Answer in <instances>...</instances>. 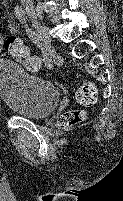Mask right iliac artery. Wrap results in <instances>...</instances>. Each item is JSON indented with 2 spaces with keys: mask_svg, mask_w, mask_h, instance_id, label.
Instances as JSON below:
<instances>
[{
  "mask_svg": "<svg viewBox=\"0 0 123 201\" xmlns=\"http://www.w3.org/2000/svg\"><path fill=\"white\" fill-rule=\"evenodd\" d=\"M14 13L21 23H26L27 19L26 12L22 8V6L17 5L14 9ZM26 33L28 34L31 41L42 50L45 64L48 69H51L53 66L51 59V52L48 49V47L44 44L42 36L33 31L32 29H30L29 27H27V25H26Z\"/></svg>",
  "mask_w": 123,
  "mask_h": 201,
  "instance_id": "obj_1",
  "label": "right iliac artery"
}]
</instances>
